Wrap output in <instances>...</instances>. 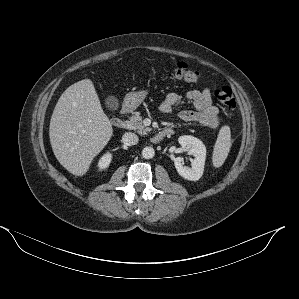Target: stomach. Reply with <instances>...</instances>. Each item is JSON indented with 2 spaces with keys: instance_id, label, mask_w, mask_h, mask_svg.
Wrapping results in <instances>:
<instances>
[{
  "instance_id": "1",
  "label": "stomach",
  "mask_w": 299,
  "mask_h": 299,
  "mask_svg": "<svg viewBox=\"0 0 299 299\" xmlns=\"http://www.w3.org/2000/svg\"><path fill=\"white\" fill-rule=\"evenodd\" d=\"M146 96H147V91L145 90L130 93L126 98L125 107L128 110L136 109L143 102Z\"/></svg>"
}]
</instances>
